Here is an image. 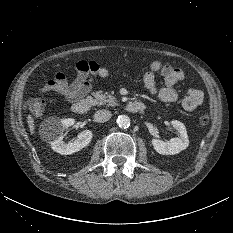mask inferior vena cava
I'll use <instances>...</instances> for the list:
<instances>
[{
  "label": "inferior vena cava",
  "instance_id": "602c4592",
  "mask_svg": "<svg viewBox=\"0 0 233 233\" xmlns=\"http://www.w3.org/2000/svg\"><path fill=\"white\" fill-rule=\"evenodd\" d=\"M111 116L112 114L109 110L102 109V110H98L97 112H95L94 119L97 122H106L111 118Z\"/></svg>",
  "mask_w": 233,
  "mask_h": 233
}]
</instances>
